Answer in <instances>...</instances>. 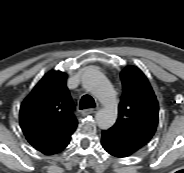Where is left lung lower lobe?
<instances>
[{"instance_id": "left-lung-lower-lobe-1", "label": "left lung lower lobe", "mask_w": 184, "mask_h": 173, "mask_svg": "<svg viewBox=\"0 0 184 173\" xmlns=\"http://www.w3.org/2000/svg\"><path fill=\"white\" fill-rule=\"evenodd\" d=\"M101 144L106 152L117 158L129 157L135 153L118 136L109 130L102 131Z\"/></svg>"}]
</instances>
